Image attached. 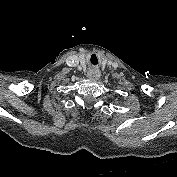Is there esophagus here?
<instances>
[{"mask_svg":"<svg viewBox=\"0 0 177 177\" xmlns=\"http://www.w3.org/2000/svg\"><path fill=\"white\" fill-rule=\"evenodd\" d=\"M100 77V72L97 70L93 76L90 75L91 79H98Z\"/></svg>","mask_w":177,"mask_h":177,"instance_id":"1","label":"esophagus"}]
</instances>
